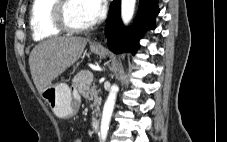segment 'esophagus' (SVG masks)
<instances>
[{"instance_id":"34e87169","label":"esophagus","mask_w":227,"mask_h":142,"mask_svg":"<svg viewBox=\"0 0 227 142\" xmlns=\"http://www.w3.org/2000/svg\"><path fill=\"white\" fill-rule=\"evenodd\" d=\"M106 41H95L93 42V46L97 48H104Z\"/></svg>"}]
</instances>
